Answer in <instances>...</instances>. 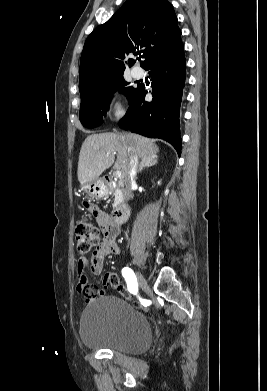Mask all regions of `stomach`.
I'll list each match as a JSON object with an SVG mask.
<instances>
[{
	"label": "stomach",
	"mask_w": 267,
	"mask_h": 391,
	"mask_svg": "<svg viewBox=\"0 0 267 391\" xmlns=\"http://www.w3.org/2000/svg\"><path fill=\"white\" fill-rule=\"evenodd\" d=\"M81 189L92 198L101 199L109 193V187L102 179L81 185Z\"/></svg>",
	"instance_id": "obj_1"
}]
</instances>
